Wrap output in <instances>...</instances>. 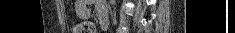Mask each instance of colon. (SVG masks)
Instances as JSON below:
<instances>
[{"mask_svg":"<svg viewBox=\"0 0 235 33\" xmlns=\"http://www.w3.org/2000/svg\"><path fill=\"white\" fill-rule=\"evenodd\" d=\"M73 33H93V26L89 22H80L73 27Z\"/></svg>","mask_w":235,"mask_h":33,"instance_id":"1","label":"colon"}]
</instances>
